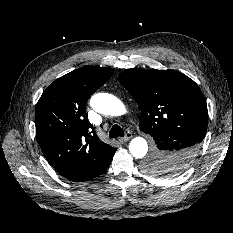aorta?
Masks as SVG:
<instances>
[{
  "label": "aorta",
  "mask_w": 233,
  "mask_h": 233,
  "mask_svg": "<svg viewBox=\"0 0 233 233\" xmlns=\"http://www.w3.org/2000/svg\"><path fill=\"white\" fill-rule=\"evenodd\" d=\"M91 107L98 113L111 116H119L126 112L121 100L112 94L97 93L90 99ZM129 151L135 158H143L148 151L147 141L142 137H135L129 144Z\"/></svg>",
  "instance_id": "1"
}]
</instances>
